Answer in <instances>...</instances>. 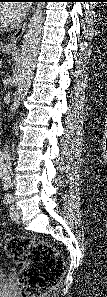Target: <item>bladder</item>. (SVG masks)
Masks as SVG:
<instances>
[{
  "label": "bladder",
  "instance_id": "31cf9c89",
  "mask_svg": "<svg viewBox=\"0 0 107 297\" xmlns=\"http://www.w3.org/2000/svg\"><path fill=\"white\" fill-rule=\"evenodd\" d=\"M0 278H1V280H3V279H4V274H3V272H2V271H0Z\"/></svg>",
  "mask_w": 107,
  "mask_h": 297
}]
</instances>
